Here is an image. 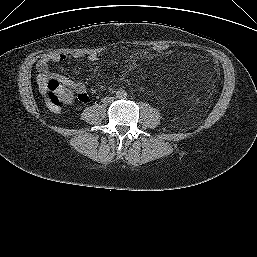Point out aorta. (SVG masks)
I'll list each match as a JSON object with an SVG mask.
<instances>
[{"instance_id":"1","label":"aorta","mask_w":257,"mask_h":257,"mask_svg":"<svg viewBox=\"0 0 257 257\" xmlns=\"http://www.w3.org/2000/svg\"><path fill=\"white\" fill-rule=\"evenodd\" d=\"M116 94H117V97L120 99H123L127 96V93L124 90H120Z\"/></svg>"}]
</instances>
